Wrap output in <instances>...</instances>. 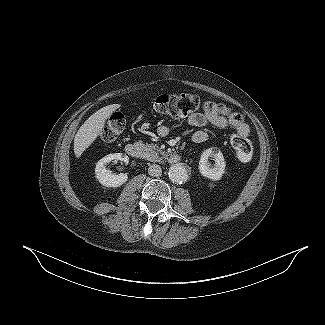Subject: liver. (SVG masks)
Wrapping results in <instances>:
<instances>
[{
	"label": "liver",
	"instance_id": "obj_1",
	"mask_svg": "<svg viewBox=\"0 0 325 325\" xmlns=\"http://www.w3.org/2000/svg\"><path fill=\"white\" fill-rule=\"evenodd\" d=\"M120 106V104H111L99 109L79 128L74 138V153L77 158L81 157L83 152L102 133L106 120Z\"/></svg>",
	"mask_w": 325,
	"mask_h": 325
}]
</instances>
